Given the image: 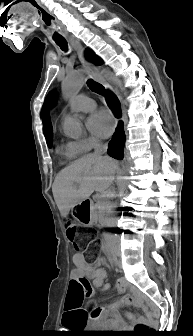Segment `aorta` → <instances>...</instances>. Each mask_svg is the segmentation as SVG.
Masks as SVG:
<instances>
[{
    "label": "aorta",
    "mask_w": 193,
    "mask_h": 336,
    "mask_svg": "<svg viewBox=\"0 0 193 336\" xmlns=\"http://www.w3.org/2000/svg\"><path fill=\"white\" fill-rule=\"evenodd\" d=\"M101 73L120 87L121 90H124L120 79L111 71L103 70ZM85 74L86 72L84 70L78 69L65 78L62 84V94L66 99H71L78 94L86 82ZM63 130L68 137L78 139L82 135V124L79 120L71 116H66L63 121Z\"/></svg>",
    "instance_id": "1"
}]
</instances>
